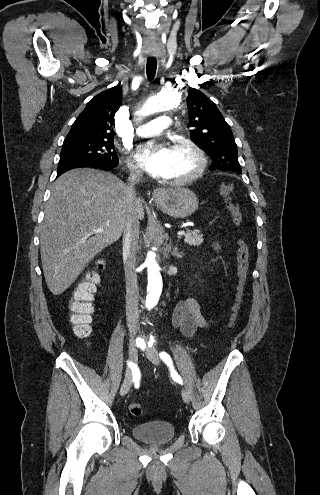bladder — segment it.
I'll use <instances>...</instances> for the list:
<instances>
[{"label": "bladder", "instance_id": "bladder-1", "mask_svg": "<svg viewBox=\"0 0 320 495\" xmlns=\"http://www.w3.org/2000/svg\"><path fill=\"white\" fill-rule=\"evenodd\" d=\"M132 433L145 443L163 444L174 439L176 430L174 425L168 421H148L136 424Z\"/></svg>", "mask_w": 320, "mask_h": 495}]
</instances>
